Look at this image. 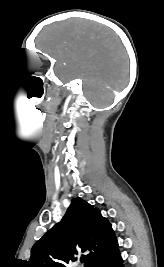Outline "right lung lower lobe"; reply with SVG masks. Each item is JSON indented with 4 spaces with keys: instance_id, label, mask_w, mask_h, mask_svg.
I'll return each instance as SVG.
<instances>
[{
    "instance_id": "98d812e1",
    "label": "right lung lower lobe",
    "mask_w": 164,
    "mask_h": 267,
    "mask_svg": "<svg viewBox=\"0 0 164 267\" xmlns=\"http://www.w3.org/2000/svg\"><path fill=\"white\" fill-rule=\"evenodd\" d=\"M90 267H124L119 249L116 248L97 258Z\"/></svg>"
}]
</instances>
